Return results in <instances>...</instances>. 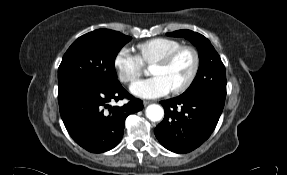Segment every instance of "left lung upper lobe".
<instances>
[{
	"label": "left lung upper lobe",
	"mask_w": 287,
	"mask_h": 175,
	"mask_svg": "<svg viewBox=\"0 0 287 175\" xmlns=\"http://www.w3.org/2000/svg\"><path fill=\"white\" fill-rule=\"evenodd\" d=\"M167 35L184 37L194 44L199 51L200 66L198 73L183 95L207 94L225 100V67L210 41L203 35L190 30H179L167 33Z\"/></svg>",
	"instance_id": "1"
}]
</instances>
